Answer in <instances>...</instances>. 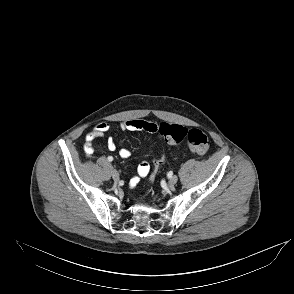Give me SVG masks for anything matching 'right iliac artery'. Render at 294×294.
Instances as JSON below:
<instances>
[{"mask_svg": "<svg viewBox=\"0 0 294 294\" xmlns=\"http://www.w3.org/2000/svg\"><path fill=\"white\" fill-rule=\"evenodd\" d=\"M112 160H113V157L109 156V157H108V161L111 162Z\"/></svg>", "mask_w": 294, "mask_h": 294, "instance_id": "1", "label": "right iliac artery"}]
</instances>
